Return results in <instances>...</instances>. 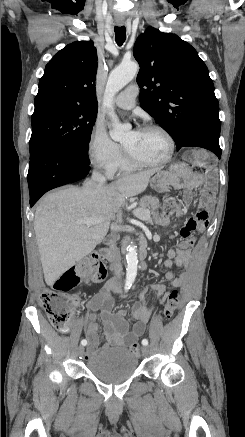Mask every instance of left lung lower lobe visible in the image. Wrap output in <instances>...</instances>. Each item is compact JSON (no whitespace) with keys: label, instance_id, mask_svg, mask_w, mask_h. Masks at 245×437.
Returning <instances> with one entry per match:
<instances>
[{"label":"left lung lower lobe","instance_id":"left-lung-lower-lobe-1","mask_svg":"<svg viewBox=\"0 0 245 437\" xmlns=\"http://www.w3.org/2000/svg\"><path fill=\"white\" fill-rule=\"evenodd\" d=\"M202 147L212 151L220 159L221 149L219 146V135L210 130L195 131L182 144V147Z\"/></svg>","mask_w":245,"mask_h":437}]
</instances>
